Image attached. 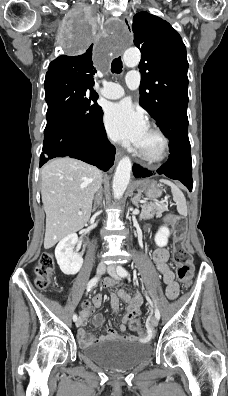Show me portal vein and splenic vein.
<instances>
[{
	"instance_id": "obj_1",
	"label": "portal vein and splenic vein",
	"mask_w": 228,
	"mask_h": 396,
	"mask_svg": "<svg viewBox=\"0 0 228 396\" xmlns=\"http://www.w3.org/2000/svg\"><path fill=\"white\" fill-rule=\"evenodd\" d=\"M142 203H145V201H141ZM78 215H82V212L81 211H79L78 212Z\"/></svg>"
}]
</instances>
